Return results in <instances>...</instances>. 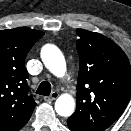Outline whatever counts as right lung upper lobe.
I'll use <instances>...</instances> for the list:
<instances>
[{"label":"right lung upper lobe","mask_w":131,"mask_h":131,"mask_svg":"<svg viewBox=\"0 0 131 131\" xmlns=\"http://www.w3.org/2000/svg\"><path fill=\"white\" fill-rule=\"evenodd\" d=\"M43 32L27 27L0 31V131H18L36 106L28 95L25 58Z\"/></svg>","instance_id":"cb5924a9"}]
</instances>
